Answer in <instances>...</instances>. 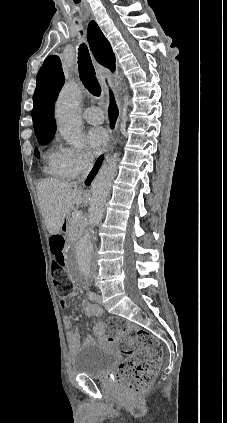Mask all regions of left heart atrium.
Segmentation results:
<instances>
[{"mask_svg":"<svg viewBox=\"0 0 227 423\" xmlns=\"http://www.w3.org/2000/svg\"><path fill=\"white\" fill-rule=\"evenodd\" d=\"M87 140L91 152L97 155L106 149L109 143V135L103 128H94L88 133Z\"/></svg>","mask_w":227,"mask_h":423,"instance_id":"39dd6f15","label":"left heart atrium"}]
</instances>
